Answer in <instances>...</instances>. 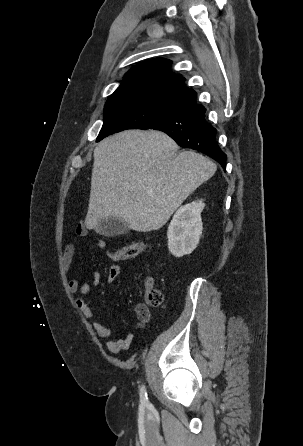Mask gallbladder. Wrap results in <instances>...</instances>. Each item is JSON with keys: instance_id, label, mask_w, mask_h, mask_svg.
I'll return each instance as SVG.
<instances>
[{"instance_id": "obj_1", "label": "gallbladder", "mask_w": 303, "mask_h": 446, "mask_svg": "<svg viewBox=\"0 0 303 446\" xmlns=\"http://www.w3.org/2000/svg\"><path fill=\"white\" fill-rule=\"evenodd\" d=\"M127 231V225L116 219L110 218L107 220H102L99 223L97 232L105 236H115L124 234Z\"/></svg>"}]
</instances>
